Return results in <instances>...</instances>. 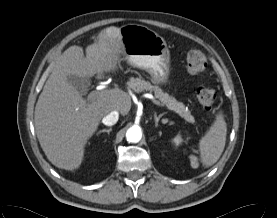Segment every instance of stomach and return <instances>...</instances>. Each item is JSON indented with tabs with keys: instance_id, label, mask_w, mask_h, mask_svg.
I'll return each instance as SVG.
<instances>
[{
	"instance_id": "obj_1",
	"label": "stomach",
	"mask_w": 277,
	"mask_h": 218,
	"mask_svg": "<svg viewBox=\"0 0 277 218\" xmlns=\"http://www.w3.org/2000/svg\"><path fill=\"white\" fill-rule=\"evenodd\" d=\"M120 34L125 60L134 67L146 70L154 84L168 83L170 52L164 38L139 24L122 26Z\"/></svg>"
}]
</instances>
